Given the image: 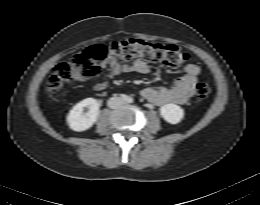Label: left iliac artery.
I'll use <instances>...</instances> for the list:
<instances>
[{"label":"left iliac artery","mask_w":260,"mask_h":205,"mask_svg":"<svg viewBox=\"0 0 260 205\" xmlns=\"http://www.w3.org/2000/svg\"><path fill=\"white\" fill-rule=\"evenodd\" d=\"M128 102L132 103L133 102V98H128Z\"/></svg>","instance_id":"44dca946"}]
</instances>
